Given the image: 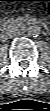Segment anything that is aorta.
<instances>
[{
	"label": "aorta",
	"mask_w": 50,
	"mask_h": 111,
	"mask_svg": "<svg viewBox=\"0 0 50 111\" xmlns=\"http://www.w3.org/2000/svg\"><path fill=\"white\" fill-rule=\"evenodd\" d=\"M27 34L29 36L36 37L40 34V27L37 25H31L27 28Z\"/></svg>",
	"instance_id": "762f6f07"
}]
</instances>
